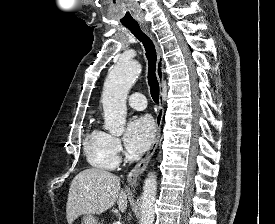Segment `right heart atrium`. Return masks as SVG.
I'll use <instances>...</instances> for the list:
<instances>
[{
  "instance_id": "right-heart-atrium-1",
  "label": "right heart atrium",
  "mask_w": 275,
  "mask_h": 224,
  "mask_svg": "<svg viewBox=\"0 0 275 224\" xmlns=\"http://www.w3.org/2000/svg\"><path fill=\"white\" fill-rule=\"evenodd\" d=\"M110 145L116 155L121 154L122 146H121L120 139L118 137L110 135Z\"/></svg>"
}]
</instances>
